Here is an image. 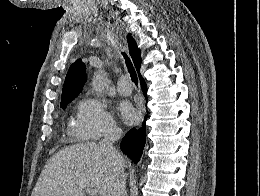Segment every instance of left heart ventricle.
I'll return each mask as SVG.
<instances>
[{"mask_svg": "<svg viewBox=\"0 0 260 196\" xmlns=\"http://www.w3.org/2000/svg\"><path fill=\"white\" fill-rule=\"evenodd\" d=\"M99 191H104V190H99ZM55 192H66V190H55Z\"/></svg>", "mask_w": 260, "mask_h": 196, "instance_id": "obj_1", "label": "left heart ventricle"}]
</instances>
